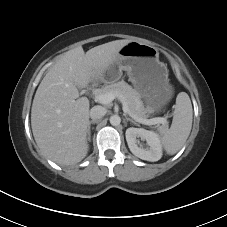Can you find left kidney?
Segmentation results:
<instances>
[{"instance_id":"left-kidney-1","label":"left kidney","mask_w":227,"mask_h":227,"mask_svg":"<svg viewBox=\"0 0 227 227\" xmlns=\"http://www.w3.org/2000/svg\"><path fill=\"white\" fill-rule=\"evenodd\" d=\"M126 141L130 151L140 159L155 162L162 157V145L160 136L143 128L130 127L126 130ZM146 140L148 148H141L138 146L137 138Z\"/></svg>"}]
</instances>
